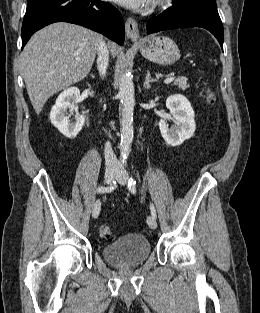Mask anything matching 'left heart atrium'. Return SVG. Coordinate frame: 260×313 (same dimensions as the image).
<instances>
[{
  "label": "left heart atrium",
  "mask_w": 260,
  "mask_h": 313,
  "mask_svg": "<svg viewBox=\"0 0 260 313\" xmlns=\"http://www.w3.org/2000/svg\"><path fill=\"white\" fill-rule=\"evenodd\" d=\"M113 1L127 8L139 10L149 6L153 0H113Z\"/></svg>",
  "instance_id": "39dd6f15"
}]
</instances>
